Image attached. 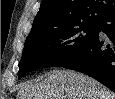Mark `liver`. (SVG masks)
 Instances as JSON below:
<instances>
[{
    "label": "liver",
    "mask_w": 115,
    "mask_h": 99,
    "mask_svg": "<svg viewBox=\"0 0 115 99\" xmlns=\"http://www.w3.org/2000/svg\"><path fill=\"white\" fill-rule=\"evenodd\" d=\"M17 99H115V93L84 74L53 70L44 79L23 84Z\"/></svg>",
    "instance_id": "6515ba94"
}]
</instances>
